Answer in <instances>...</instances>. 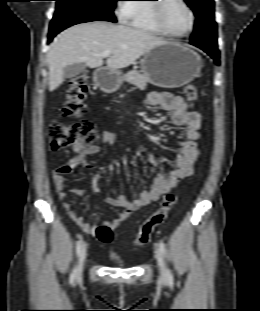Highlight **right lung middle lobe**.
I'll list each match as a JSON object with an SVG mask.
<instances>
[{"label":"right lung middle lobe","instance_id":"obj_1","mask_svg":"<svg viewBox=\"0 0 260 311\" xmlns=\"http://www.w3.org/2000/svg\"><path fill=\"white\" fill-rule=\"evenodd\" d=\"M56 10L52 21L64 18L103 20L116 22L113 9L118 0H55Z\"/></svg>","mask_w":260,"mask_h":311}]
</instances>
